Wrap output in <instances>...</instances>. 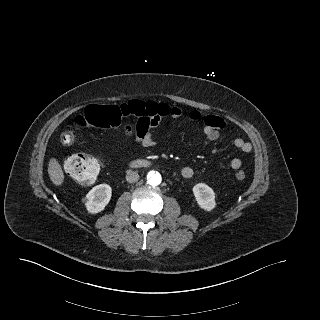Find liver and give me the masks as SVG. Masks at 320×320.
Returning a JSON list of instances; mask_svg holds the SVG:
<instances>
[{
  "label": "liver",
  "mask_w": 320,
  "mask_h": 320,
  "mask_svg": "<svg viewBox=\"0 0 320 320\" xmlns=\"http://www.w3.org/2000/svg\"><path fill=\"white\" fill-rule=\"evenodd\" d=\"M48 174L54 185L60 186L64 182V173L56 158H51L48 164Z\"/></svg>",
  "instance_id": "6515ba94"
}]
</instances>
